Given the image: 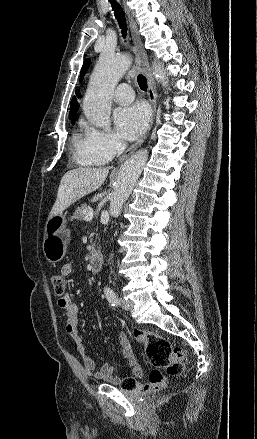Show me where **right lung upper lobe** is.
Here are the masks:
<instances>
[{
  "label": "right lung upper lobe",
  "instance_id": "obj_1",
  "mask_svg": "<svg viewBox=\"0 0 257 439\" xmlns=\"http://www.w3.org/2000/svg\"><path fill=\"white\" fill-rule=\"evenodd\" d=\"M78 97H80L79 93H76ZM79 109V104L77 103V99L74 96L70 103V112H77Z\"/></svg>",
  "mask_w": 257,
  "mask_h": 439
}]
</instances>
